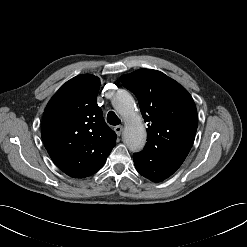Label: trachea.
<instances>
[{"label": "trachea", "mask_w": 247, "mask_h": 247, "mask_svg": "<svg viewBox=\"0 0 247 247\" xmlns=\"http://www.w3.org/2000/svg\"><path fill=\"white\" fill-rule=\"evenodd\" d=\"M107 122L113 126L119 125L121 123L120 119L113 111H110L107 114Z\"/></svg>", "instance_id": "trachea-1"}]
</instances>
